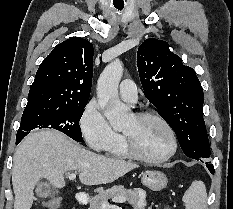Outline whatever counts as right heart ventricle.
I'll return each instance as SVG.
<instances>
[{
    "label": "right heart ventricle",
    "instance_id": "obj_1",
    "mask_svg": "<svg viewBox=\"0 0 233 209\" xmlns=\"http://www.w3.org/2000/svg\"><path fill=\"white\" fill-rule=\"evenodd\" d=\"M107 155L115 158H129V154L126 151L124 140L121 137L113 146L105 150Z\"/></svg>",
    "mask_w": 233,
    "mask_h": 209
}]
</instances>
